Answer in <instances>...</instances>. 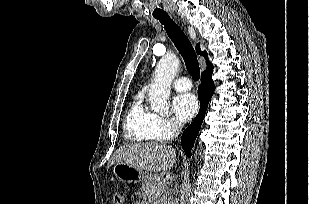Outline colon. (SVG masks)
Returning a JSON list of instances; mask_svg holds the SVG:
<instances>
[{
  "mask_svg": "<svg viewBox=\"0 0 309 204\" xmlns=\"http://www.w3.org/2000/svg\"><path fill=\"white\" fill-rule=\"evenodd\" d=\"M114 204H123V194L121 192H115L113 195Z\"/></svg>",
  "mask_w": 309,
  "mask_h": 204,
  "instance_id": "obj_1",
  "label": "colon"
}]
</instances>
